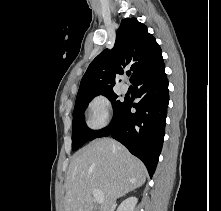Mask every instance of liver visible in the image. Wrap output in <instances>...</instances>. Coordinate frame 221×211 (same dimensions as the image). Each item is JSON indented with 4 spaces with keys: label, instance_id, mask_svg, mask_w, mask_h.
Segmentation results:
<instances>
[{
    "label": "liver",
    "instance_id": "1",
    "mask_svg": "<svg viewBox=\"0 0 221 211\" xmlns=\"http://www.w3.org/2000/svg\"><path fill=\"white\" fill-rule=\"evenodd\" d=\"M144 164L115 140L96 139L77 152L66 176L64 211H93V189L104 195L99 211L146 181Z\"/></svg>",
    "mask_w": 221,
    "mask_h": 211
}]
</instances>
